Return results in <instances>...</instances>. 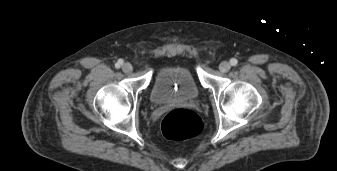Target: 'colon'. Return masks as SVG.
Segmentation results:
<instances>
[{"label":"colon","mask_w":337,"mask_h":171,"mask_svg":"<svg viewBox=\"0 0 337 171\" xmlns=\"http://www.w3.org/2000/svg\"><path fill=\"white\" fill-rule=\"evenodd\" d=\"M161 129L166 138L181 141L199 135L203 129V124L195 112L178 108L169 112L163 118Z\"/></svg>","instance_id":"5ec220e1"}]
</instances>
